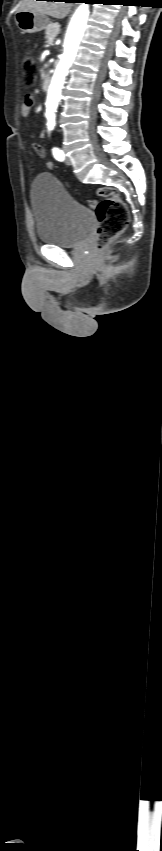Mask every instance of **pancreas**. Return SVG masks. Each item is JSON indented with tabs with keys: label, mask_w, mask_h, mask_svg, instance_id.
<instances>
[{
	"label": "pancreas",
	"mask_w": 162,
	"mask_h": 851,
	"mask_svg": "<svg viewBox=\"0 0 162 851\" xmlns=\"http://www.w3.org/2000/svg\"><path fill=\"white\" fill-rule=\"evenodd\" d=\"M59 28H60V26H59L58 23H50L46 27L45 38H46L48 44L53 42V41H51V39H53L58 34Z\"/></svg>",
	"instance_id": "obj_1"
}]
</instances>
